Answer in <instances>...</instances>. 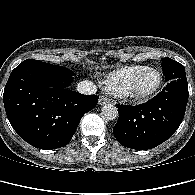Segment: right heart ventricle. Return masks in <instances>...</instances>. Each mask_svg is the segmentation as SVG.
I'll return each instance as SVG.
<instances>
[{
  "label": "right heart ventricle",
  "mask_w": 195,
  "mask_h": 195,
  "mask_svg": "<svg viewBox=\"0 0 195 195\" xmlns=\"http://www.w3.org/2000/svg\"><path fill=\"white\" fill-rule=\"evenodd\" d=\"M146 66H125L109 73L104 81V88L110 93L120 96L127 88L130 80Z\"/></svg>",
  "instance_id": "right-heart-ventricle-1"
}]
</instances>
